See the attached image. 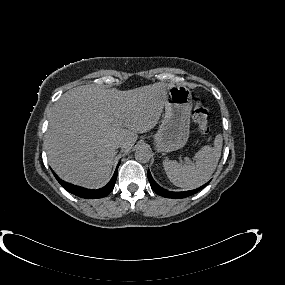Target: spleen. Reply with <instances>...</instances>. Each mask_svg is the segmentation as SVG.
<instances>
[{
	"label": "spleen",
	"mask_w": 285,
	"mask_h": 285,
	"mask_svg": "<svg viewBox=\"0 0 285 285\" xmlns=\"http://www.w3.org/2000/svg\"><path fill=\"white\" fill-rule=\"evenodd\" d=\"M223 138L218 134L214 146L206 145L194 156L193 162L186 163L176 160H164L163 167L168 179L181 188H195L210 180L214 173L222 149Z\"/></svg>",
	"instance_id": "1"
}]
</instances>
